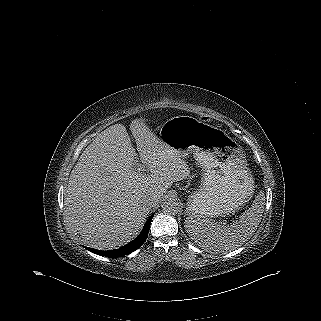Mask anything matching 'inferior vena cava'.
I'll return each mask as SVG.
<instances>
[{
  "instance_id": "inferior-vena-cava-1",
  "label": "inferior vena cava",
  "mask_w": 321,
  "mask_h": 321,
  "mask_svg": "<svg viewBox=\"0 0 321 321\" xmlns=\"http://www.w3.org/2000/svg\"><path fill=\"white\" fill-rule=\"evenodd\" d=\"M144 202L148 205V206H152L153 205V198L152 197H147Z\"/></svg>"
}]
</instances>
